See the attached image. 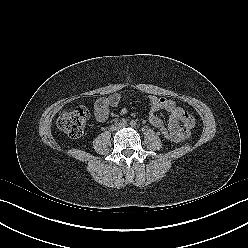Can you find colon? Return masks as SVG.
<instances>
[{"mask_svg":"<svg viewBox=\"0 0 248 248\" xmlns=\"http://www.w3.org/2000/svg\"><path fill=\"white\" fill-rule=\"evenodd\" d=\"M88 119V111L85 108H76L62 112L57 119L58 129L67 137L77 139L82 136ZM159 134L169 142H176L175 134L167 127H160Z\"/></svg>","mask_w":248,"mask_h":248,"instance_id":"colon-1","label":"colon"}]
</instances>
